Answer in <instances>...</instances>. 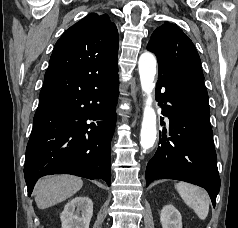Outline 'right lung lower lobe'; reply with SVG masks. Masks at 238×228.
Returning a JSON list of instances; mask_svg holds the SVG:
<instances>
[{
	"instance_id": "1",
	"label": "right lung lower lobe",
	"mask_w": 238,
	"mask_h": 228,
	"mask_svg": "<svg viewBox=\"0 0 238 228\" xmlns=\"http://www.w3.org/2000/svg\"><path fill=\"white\" fill-rule=\"evenodd\" d=\"M118 94L117 78L98 89L38 106L24 165L29 196L40 177L57 173L101 178L110 186Z\"/></svg>"
}]
</instances>
